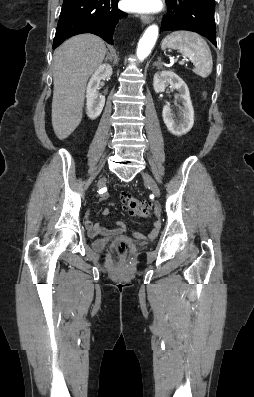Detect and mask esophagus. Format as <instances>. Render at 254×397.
I'll return each mask as SVG.
<instances>
[{"mask_svg": "<svg viewBox=\"0 0 254 397\" xmlns=\"http://www.w3.org/2000/svg\"><path fill=\"white\" fill-rule=\"evenodd\" d=\"M153 21V17H151V16H147V15H142L141 16V22L143 23V24H149V23H151Z\"/></svg>", "mask_w": 254, "mask_h": 397, "instance_id": "esophagus-1", "label": "esophagus"}]
</instances>
